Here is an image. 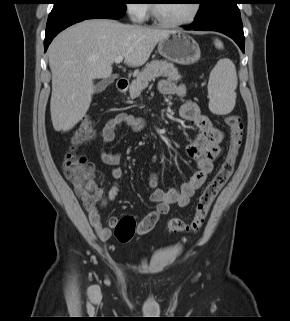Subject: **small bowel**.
<instances>
[{
	"mask_svg": "<svg viewBox=\"0 0 290 321\" xmlns=\"http://www.w3.org/2000/svg\"><path fill=\"white\" fill-rule=\"evenodd\" d=\"M159 90L164 96H177L180 98H183L187 92L184 84L177 85L171 80L161 81ZM179 112L180 116L190 122L197 131L193 141L186 146V154L196 162L197 171L180 188H172L168 191L159 188L157 174L150 175L148 178V185L151 189L150 200L156 204V207L138 224L137 230L139 234L149 232L160 217L169 211L171 205L186 206L194 192L205 183L213 170L215 160L222 153L223 132L216 128L210 119L201 113L199 106L194 101H184ZM121 125H125L137 132L141 131L144 127L141 119L128 113H119L109 119L99 132V137L105 145L114 141L116 129ZM100 158L104 164L113 166L111 170L112 185L106 192L100 189V206L104 207L108 201H114L118 197L123 171L119 167L120 154L110 153L104 147L100 152ZM86 211L90 224L98 237L104 241L108 240L112 235V228L117 224V219L111 217L108 225H104L96 205L92 208H86Z\"/></svg>",
	"mask_w": 290,
	"mask_h": 321,
	"instance_id": "obj_1",
	"label": "small bowel"
}]
</instances>
